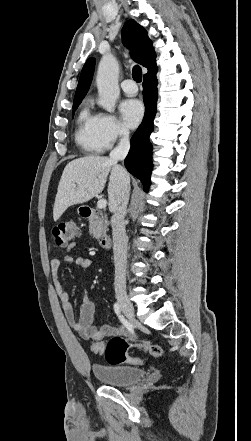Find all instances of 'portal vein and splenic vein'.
<instances>
[{
	"instance_id": "obj_1",
	"label": "portal vein and splenic vein",
	"mask_w": 251,
	"mask_h": 441,
	"mask_svg": "<svg viewBox=\"0 0 251 441\" xmlns=\"http://www.w3.org/2000/svg\"><path fill=\"white\" fill-rule=\"evenodd\" d=\"M107 206V201L105 200V199H100L98 202H97V207L99 208V209H103V208H105Z\"/></svg>"
}]
</instances>
